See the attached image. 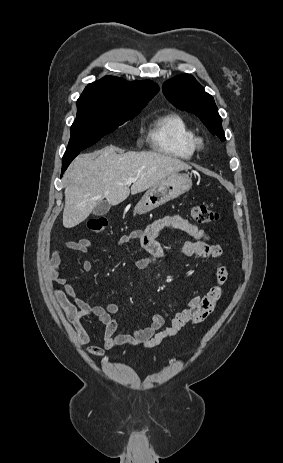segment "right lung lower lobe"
<instances>
[{"label":"right lung lower lobe","mask_w":283,"mask_h":463,"mask_svg":"<svg viewBox=\"0 0 283 463\" xmlns=\"http://www.w3.org/2000/svg\"><path fill=\"white\" fill-rule=\"evenodd\" d=\"M80 153L79 152H76V153H73V154H70V155H64L63 156V161H62V173H61V176L63 174V172L67 169V167L69 166V164L71 163V161Z\"/></svg>","instance_id":"obj_1"}]
</instances>
